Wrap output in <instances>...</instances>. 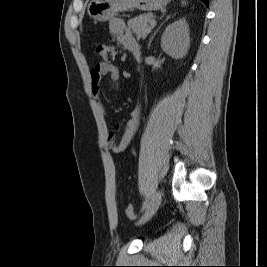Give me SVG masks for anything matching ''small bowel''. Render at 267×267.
<instances>
[{
  "instance_id": "obj_1",
  "label": "small bowel",
  "mask_w": 267,
  "mask_h": 267,
  "mask_svg": "<svg viewBox=\"0 0 267 267\" xmlns=\"http://www.w3.org/2000/svg\"><path fill=\"white\" fill-rule=\"evenodd\" d=\"M109 30L112 35L116 36L118 41L131 53L136 61L141 59V48L136 39L127 30L125 22L121 18H115L109 23ZM91 83H92V94L94 96L95 102L105 116L106 110L103 105L102 99L100 97V82L105 75H110L113 81L119 79V71L117 67L109 63H98L96 64L90 72ZM140 112L135 110L132 112L130 119H128L124 125L122 136L119 142L115 141V131L112 130L108 133L107 144L110 150L115 153H123L128 145L130 144L137 127L139 125ZM118 125H115V129Z\"/></svg>"
}]
</instances>
